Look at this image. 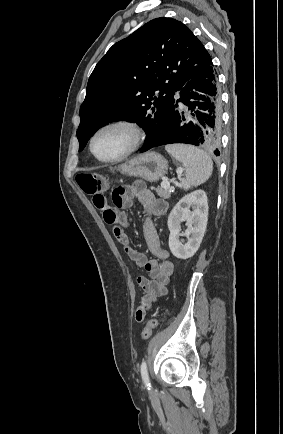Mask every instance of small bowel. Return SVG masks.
<instances>
[{"mask_svg": "<svg viewBox=\"0 0 283 434\" xmlns=\"http://www.w3.org/2000/svg\"><path fill=\"white\" fill-rule=\"evenodd\" d=\"M133 199H137L144 208L146 219L143 226L144 237L149 251L155 258L149 259L144 253L135 250L125 231L128 226L126 215L119 209L130 207ZM94 206L103 214L106 223L113 227V233L124 253L139 267L145 269L150 278L140 276L137 283L143 295L135 311V320L141 322L151 310L152 305L167 293L169 277L174 265L169 260L170 253L162 248L152 218L162 216L168 208L165 200L158 199L141 181L114 189L111 206L102 192L92 196Z\"/></svg>", "mask_w": 283, "mask_h": 434, "instance_id": "small-bowel-1", "label": "small bowel"}]
</instances>
